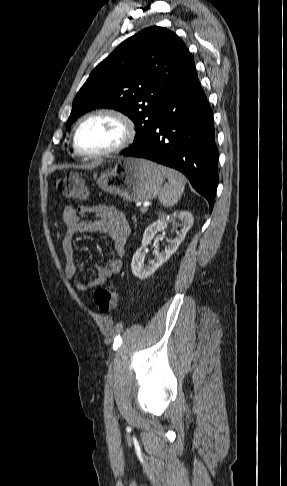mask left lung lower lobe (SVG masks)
Masks as SVG:
<instances>
[{
	"label": "left lung lower lobe",
	"mask_w": 287,
	"mask_h": 486,
	"mask_svg": "<svg viewBox=\"0 0 287 486\" xmlns=\"http://www.w3.org/2000/svg\"><path fill=\"white\" fill-rule=\"evenodd\" d=\"M181 171L212 210L218 185L213 112L195 72L175 89L141 142L121 152Z\"/></svg>",
	"instance_id": "left-lung-lower-lobe-1"
}]
</instances>
